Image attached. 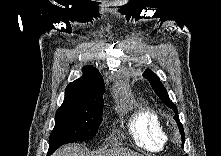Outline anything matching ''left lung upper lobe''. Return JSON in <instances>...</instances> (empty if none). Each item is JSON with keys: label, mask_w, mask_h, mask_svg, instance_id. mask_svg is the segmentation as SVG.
<instances>
[{"label": "left lung upper lobe", "mask_w": 221, "mask_h": 156, "mask_svg": "<svg viewBox=\"0 0 221 156\" xmlns=\"http://www.w3.org/2000/svg\"><path fill=\"white\" fill-rule=\"evenodd\" d=\"M143 76L150 82L153 90L156 92L158 97L175 112V117L178 118V110L175 104L172 101H170L168 93L161 81L159 80V77L150 69H146Z\"/></svg>", "instance_id": "1"}]
</instances>
